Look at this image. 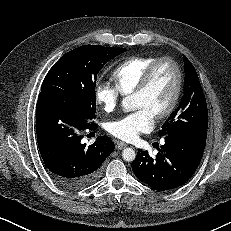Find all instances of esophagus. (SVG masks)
<instances>
[{
  "mask_svg": "<svg viewBox=\"0 0 231 231\" xmlns=\"http://www.w3.org/2000/svg\"><path fill=\"white\" fill-rule=\"evenodd\" d=\"M127 146H128V145H127L126 143L121 142V141H119V142L116 143V148H117L118 150H122V149L126 148Z\"/></svg>",
  "mask_w": 231,
  "mask_h": 231,
  "instance_id": "esophagus-1",
  "label": "esophagus"
}]
</instances>
